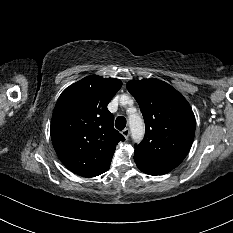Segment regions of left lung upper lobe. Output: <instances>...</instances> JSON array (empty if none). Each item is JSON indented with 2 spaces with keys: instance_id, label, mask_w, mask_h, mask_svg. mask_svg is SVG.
Instances as JSON below:
<instances>
[{
  "instance_id": "left-lung-upper-lobe-1",
  "label": "left lung upper lobe",
  "mask_w": 233,
  "mask_h": 233,
  "mask_svg": "<svg viewBox=\"0 0 233 233\" xmlns=\"http://www.w3.org/2000/svg\"><path fill=\"white\" fill-rule=\"evenodd\" d=\"M127 89L138 102L146 126L135 152L171 168L188 154L195 134V117L187 100L158 79L131 80Z\"/></svg>"
}]
</instances>
